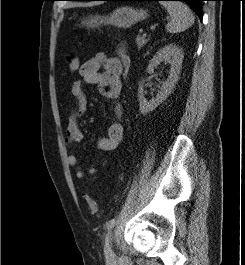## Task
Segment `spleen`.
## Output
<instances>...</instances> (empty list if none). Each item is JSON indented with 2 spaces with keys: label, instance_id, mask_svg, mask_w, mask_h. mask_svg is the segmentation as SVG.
Instances as JSON below:
<instances>
[{
  "label": "spleen",
  "instance_id": "1",
  "mask_svg": "<svg viewBox=\"0 0 245 265\" xmlns=\"http://www.w3.org/2000/svg\"><path fill=\"white\" fill-rule=\"evenodd\" d=\"M163 5L171 20L166 25V29L169 33H178L188 29L194 23V16L190 8L178 1H163L160 2Z\"/></svg>",
  "mask_w": 245,
  "mask_h": 265
}]
</instances>
